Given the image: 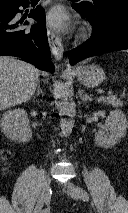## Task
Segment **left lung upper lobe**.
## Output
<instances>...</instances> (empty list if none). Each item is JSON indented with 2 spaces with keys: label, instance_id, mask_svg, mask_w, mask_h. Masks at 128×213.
I'll return each mask as SVG.
<instances>
[{
  "label": "left lung upper lobe",
  "instance_id": "1",
  "mask_svg": "<svg viewBox=\"0 0 128 213\" xmlns=\"http://www.w3.org/2000/svg\"><path fill=\"white\" fill-rule=\"evenodd\" d=\"M78 5L99 21L105 20L119 10H128V0H93V3L81 2Z\"/></svg>",
  "mask_w": 128,
  "mask_h": 213
}]
</instances>
